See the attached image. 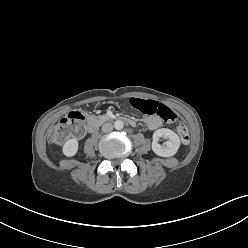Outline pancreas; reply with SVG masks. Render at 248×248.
I'll return each instance as SVG.
<instances>
[{
	"label": "pancreas",
	"instance_id": "pancreas-1",
	"mask_svg": "<svg viewBox=\"0 0 248 248\" xmlns=\"http://www.w3.org/2000/svg\"><path fill=\"white\" fill-rule=\"evenodd\" d=\"M97 119L100 121V122H104L106 120H108V116L107 115H99L97 116Z\"/></svg>",
	"mask_w": 248,
	"mask_h": 248
}]
</instances>
